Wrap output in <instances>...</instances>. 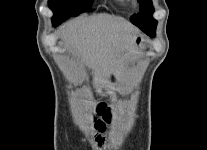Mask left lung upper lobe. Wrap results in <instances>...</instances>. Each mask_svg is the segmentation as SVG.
I'll return each instance as SVG.
<instances>
[{
	"mask_svg": "<svg viewBox=\"0 0 207 150\" xmlns=\"http://www.w3.org/2000/svg\"><path fill=\"white\" fill-rule=\"evenodd\" d=\"M140 12L131 17V22L138 26L146 34H155L157 21L153 19L154 8L151 0H138Z\"/></svg>",
	"mask_w": 207,
	"mask_h": 150,
	"instance_id": "5c2ea615",
	"label": "left lung upper lobe"
}]
</instances>
